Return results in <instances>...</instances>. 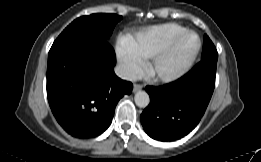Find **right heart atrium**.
I'll return each mask as SVG.
<instances>
[{
  "instance_id": "right-heart-atrium-1",
  "label": "right heart atrium",
  "mask_w": 261,
  "mask_h": 162,
  "mask_svg": "<svg viewBox=\"0 0 261 162\" xmlns=\"http://www.w3.org/2000/svg\"><path fill=\"white\" fill-rule=\"evenodd\" d=\"M118 60L123 74L127 78L136 77L142 70L144 61L129 46V39L124 38L118 45Z\"/></svg>"
}]
</instances>
